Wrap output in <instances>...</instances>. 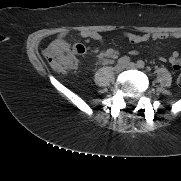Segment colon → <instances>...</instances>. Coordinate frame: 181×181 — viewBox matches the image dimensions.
Returning a JSON list of instances; mask_svg holds the SVG:
<instances>
[{
    "label": "colon",
    "mask_w": 181,
    "mask_h": 181,
    "mask_svg": "<svg viewBox=\"0 0 181 181\" xmlns=\"http://www.w3.org/2000/svg\"><path fill=\"white\" fill-rule=\"evenodd\" d=\"M85 52V48L81 44L69 48L50 47L45 52V57L51 67L58 73L64 74L76 65L75 56ZM177 82L181 86V73L178 76Z\"/></svg>",
    "instance_id": "5ec220e1"
}]
</instances>
